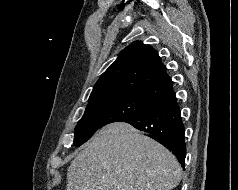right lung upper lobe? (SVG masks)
I'll return each mask as SVG.
<instances>
[{
    "mask_svg": "<svg viewBox=\"0 0 238 190\" xmlns=\"http://www.w3.org/2000/svg\"><path fill=\"white\" fill-rule=\"evenodd\" d=\"M173 90L172 80L154 48L135 41L99 78L89 101L129 95L156 103Z\"/></svg>",
    "mask_w": 238,
    "mask_h": 190,
    "instance_id": "1",
    "label": "right lung upper lobe"
}]
</instances>
